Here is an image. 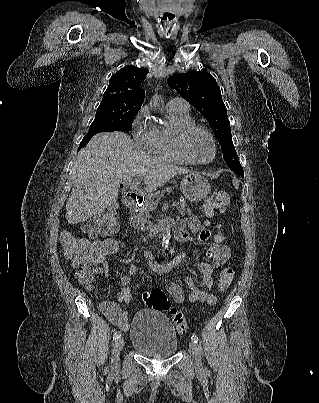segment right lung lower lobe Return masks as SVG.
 Masks as SVG:
<instances>
[{
  "label": "right lung lower lobe",
  "instance_id": "obj_1",
  "mask_svg": "<svg viewBox=\"0 0 319 403\" xmlns=\"http://www.w3.org/2000/svg\"><path fill=\"white\" fill-rule=\"evenodd\" d=\"M106 131L111 132V131H115V130H106ZM99 132H105V131H89V132L86 134V136L83 138V140L81 141L80 146H81V147L86 146V145L88 144V142L90 141V139H91L96 133H99ZM79 149H80V148H78V150H79Z\"/></svg>",
  "mask_w": 319,
  "mask_h": 403
}]
</instances>
